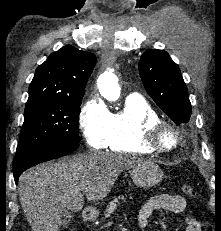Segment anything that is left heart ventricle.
<instances>
[{
	"instance_id": "obj_1",
	"label": "left heart ventricle",
	"mask_w": 221,
	"mask_h": 231,
	"mask_svg": "<svg viewBox=\"0 0 221 231\" xmlns=\"http://www.w3.org/2000/svg\"><path fill=\"white\" fill-rule=\"evenodd\" d=\"M173 140L172 134L170 133H165L163 136V141L165 144H170Z\"/></svg>"
}]
</instances>
